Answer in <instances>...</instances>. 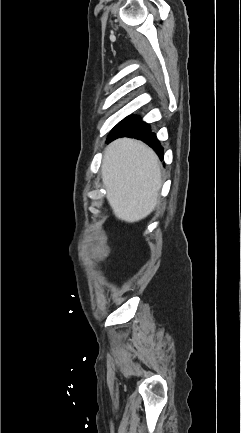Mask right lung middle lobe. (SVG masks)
<instances>
[{"instance_id": "dd1d6c3e", "label": "right lung middle lobe", "mask_w": 241, "mask_h": 433, "mask_svg": "<svg viewBox=\"0 0 241 433\" xmlns=\"http://www.w3.org/2000/svg\"><path fill=\"white\" fill-rule=\"evenodd\" d=\"M139 119L138 116H129L122 120L119 124H117L113 130L110 132V135L122 133L123 131L127 130L133 123H135Z\"/></svg>"}]
</instances>
